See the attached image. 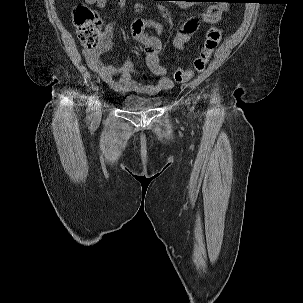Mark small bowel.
Here are the masks:
<instances>
[{
  "label": "small bowel",
  "instance_id": "obj_1",
  "mask_svg": "<svg viewBox=\"0 0 303 303\" xmlns=\"http://www.w3.org/2000/svg\"><path fill=\"white\" fill-rule=\"evenodd\" d=\"M89 4L103 9L112 0H86ZM119 8H123L126 0H113ZM220 2V1H218ZM136 10L141 9V5L137 4ZM227 9L225 4H215L209 6L207 11L202 14L200 19L195 17L189 18L177 31L173 44L177 49L184 48L199 29L200 23L211 24L216 23ZM152 28L156 34L163 32L161 24L154 19L135 18L131 23V33L138 41L142 42L146 51V64L152 76L160 77L158 84L151 80L136 81L133 75L137 71L129 57L126 58L121 67H113L105 65L101 57L111 49V35L114 31V24L110 23L106 26L102 42L93 50H85L84 55L89 68L97 73L100 78L117 92L127 93L130 91L138 93L153 94L161 90H167L172 86V80L166 74V67L161 59V43L157 36H149L145 32V27ZM119 74L120 78L115 76Z\"/></svg>",
  "mask_w": 303,
  "mask_h": 303
}]
</instances>
